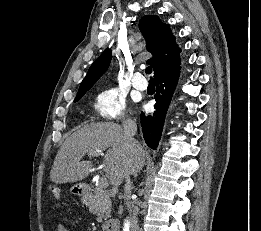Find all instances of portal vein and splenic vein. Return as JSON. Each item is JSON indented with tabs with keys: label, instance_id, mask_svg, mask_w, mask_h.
<instances>
[{
	"label": "portal vein and splenic vein",
	"instance_id": "portal-vein-and-splenic-vein-1",
	"mask_svg": "<svg viewBox=\"0 0 261 231\" xmlns=\"http://www.w3.org/2000/svg\"><path fill=\"white\" fill-rule=\"evenodd\" d=\"M101 154H102V151L98 150V151H95L93 153H89L88 155L89 156H99ZM99 186L101 188H104V189L107 188L108 187V180H107V178L101 177L100 180H99Z\"/></svg>",
	"mask_w": 261,
	"mask_h": 231
}]
</instances>
